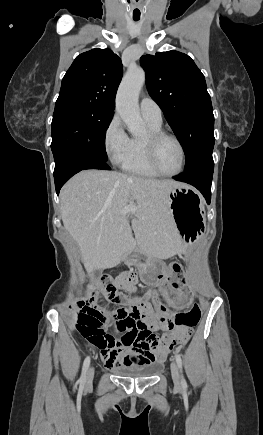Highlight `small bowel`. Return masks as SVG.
<instances>
[{
  "label": "small bowel",
  "instance_id": "1",
  "mask_svg": "<svg viewBox=\"0 0 263 435\" xmlns=\"http://www.w3.org/2000/svg\"><path fill=\"white\" fill-rule=\"evenodd\" d=\"M138 275L134 272H126L117 276L113 287L127 292V296L122 294L119 300H111L114 304L124 305L115 314L107 315L100 310L92 300H82L78 303L80 312L102 313L106 325L119 330L125 328H148L149 332L157 330L170 331L162 337L168 339L165 350H100L101 358L108 368L121 366H141L153 362H163L167 355H172L174 350H179L180 343L177 336L173 334L176 330H189V321H174L167 316H160L157 308L147 302L137 291L136 284ZM120 293V292H119ZM121 294V293H120ZM163 309V307H162ZM115 340V339H114Z\"/></svg>",
  "mask_w": 263,
  "mask_h": 435
}]
</instances>
